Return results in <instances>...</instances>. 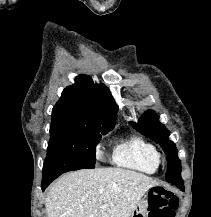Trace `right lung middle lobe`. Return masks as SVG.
<instances>
[{
    "label": "right lung middle lobe",
    "instance_id": "dd1d6c3e",
    "mask_svg": "<svg viewBox=\"0 0 211 217\" xmlns=\"http://www.w3.org/2000/svg\"><path fill=\"white\" fill-rule=\"evenodd\" d=\"M111 127L72 122H52L43 166V178L68 171L95 168V148L100 133Z\"/></svg>",
    "mask_w": 211,
    "mask_h": 217
}]
</instances>
